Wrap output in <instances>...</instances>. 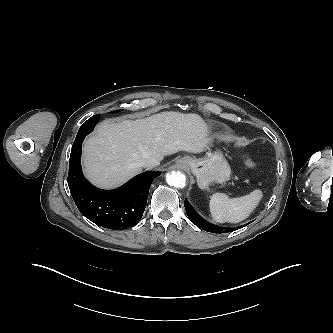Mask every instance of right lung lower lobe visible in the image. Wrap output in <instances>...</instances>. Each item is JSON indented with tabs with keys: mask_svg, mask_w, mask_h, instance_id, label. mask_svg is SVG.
<instances>
[{
	"mask_svg": "<svg viewBox=\"0 0 333 333\" xmlns=\"http://www.w3.org/2000/svg\"><path fill=\"white\" fill-rule=\"evenodd\" d=\"M100 116L89 118L78 131L70 154L68 185L77 208L86 218L108 229H126L141 219L150 185L160 172H144L115 190L106 191L92 186L82 174L81 145Z\"/></svg>",
	"mask_w": 333,
	"mask_h": 333,
	"instance_id": "1",
	"label": "right lung lower lobe"
}]
</instances>
